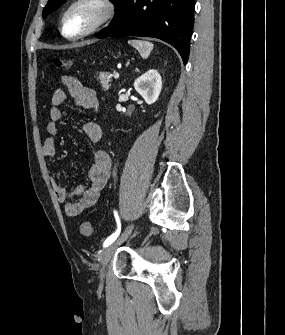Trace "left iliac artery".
<instances>
[{
    "label": "left iliac artery",
    "instance_id": "44dca946",
    "mask_svg": "<svg viewBox=\"0 0 285 335\" xmlns=\"http://www.w3.org/2000/svg\"><path fill=\"white\" fill-rule=\"evenodd\" d=\"M114 216H115V218H116V222H117V230H116V232L115 233H113L111 236H109L106 240H105V242H104V244H103V247H107V246H109L110 244H112L115 240H116V238L118 237V235L120 234V231H121V223H120V219H119V217H118V214H117V212L116 211H114Z\"/></svg>",
    "mask_w": 285,
    "mask_h": 335
}]
</instances>
